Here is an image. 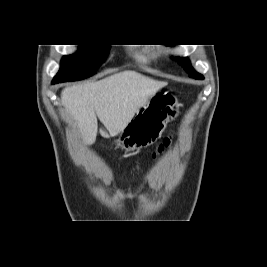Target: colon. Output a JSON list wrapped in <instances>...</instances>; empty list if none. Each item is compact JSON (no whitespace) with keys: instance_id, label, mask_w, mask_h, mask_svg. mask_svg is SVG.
Returning a JSON list of instances; mask_svg holds the SVG:
<instances>
[{"instance_id":"1","label":"colon","mask_w":267,"mask_h":267,"mask_svg":"<svg viewBox=\"0 0 267 267\" xmlns=\"http://www.w3.org/2000/svg\"><path fill=\"white\" fill-rule=\"evenodd\" d=\"M171 143H172V137L171 136L165 137L154 151L153 157L156 158L159 155H161L171 145Z\"/></svg>"}]
</instances>
